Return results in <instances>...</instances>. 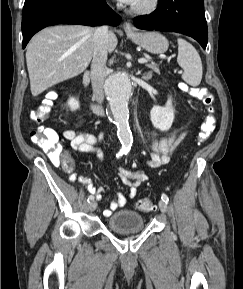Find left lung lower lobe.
Returning <instances> with one entry per match:
<instances>
[{
	"label": "left lung lower lobe",
	"instance_id": "1",
	"mask_svg": "<svg viewBox=\"0 0 243 289\" xmlns=\"http://www.w3.org/2000/svg\"><path fill=\"white\" fill-rule=\"evenodd\" d=\"M149 15L134 18L137 28L182 33L197 40L205 49L208 40L204 0H158Z\"/></svg>",
	"mask_w": 243,
	"mask_h": 289
}]
</instances>
